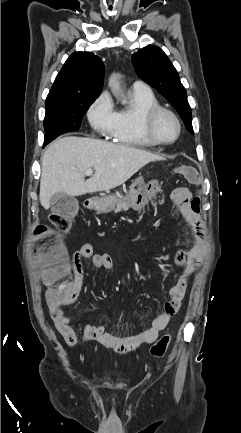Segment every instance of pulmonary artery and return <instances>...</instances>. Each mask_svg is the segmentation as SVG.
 <instances>
[{
	"mask_svg": "<svg viewBox=\"0 0 241 433\" xmlns=\"http://www.w3.org/2000/svg\"><path fill=\"white\" fill-rule=\"evenodd\" d=\"M132 89L139 90V91H148V90H150V87L147 83H145L141 80H136L132 84Z\"/></svg>",
	"mask_w": 241,
	"mask_h": 433,
	"instance_id": "e3ab8cb5",
	"label": "pulmonary artery"
}]
</instances>
